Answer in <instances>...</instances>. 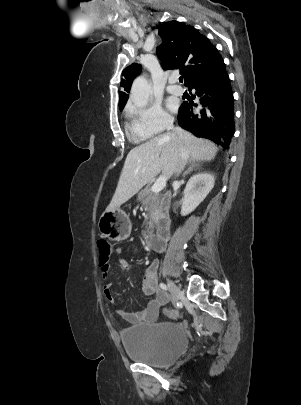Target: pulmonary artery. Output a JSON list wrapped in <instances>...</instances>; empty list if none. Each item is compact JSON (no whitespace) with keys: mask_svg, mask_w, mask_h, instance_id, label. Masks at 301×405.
Returning <instances> with one entry per match:
<instances>
[{"mask_svg":"<svg viewBox=\"0 0 301 405\" xmlns=\"http://www.w3.org/2000/svg\"><path fill=\"white\" fill-rule=\"evenodd\" d=\"M167 90L174 95H182L184 92L183 88L177 84V78L175 77L169 79Z\"/></svg>","mask_w":301,"mask_h":405,"instance_id":"pulmonary-artery-1","label":"pulmonary artery"}]
</instances>
